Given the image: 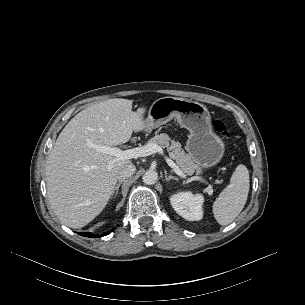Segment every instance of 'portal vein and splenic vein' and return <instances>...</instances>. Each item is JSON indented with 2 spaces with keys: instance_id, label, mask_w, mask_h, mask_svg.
Instances as JSON below:
<instances>
[{
  "instance_id": "18ae733b",
  "label": "portal vein and splenic vein",
  "mask_w": 305,
  "mask_h": 305,
  "mask_svg": "<svg viewBox=\"0 0 305 305\" xmlns=\"http://www.w3.org/2000/svg\"><path fill=\"white\" fill-rule=\"evenodd\" d=\"M90 147L95 148L97 151L102 152V153H106L109 154L113 157H115L116 160H126V159H132V158H138V157H145V156H149L151 154L154 153H159L160 155H162L166 161V163L173 169V171L185 178L186 174H184L181 169L174 163V161L169 158L167 155H165V153L163 152V149L156 145V144H147L141 147H136V148H132V149H127V150H122L120 148L117 147H110V146H105V145H93V144H89ZM111 164L110 163L108 169L111 168ZM194 180H199L202 181L204 183L208 182L205 179L202 178H194ZM211 190V187H209Z\"/></svg>"
}]
</instances>
